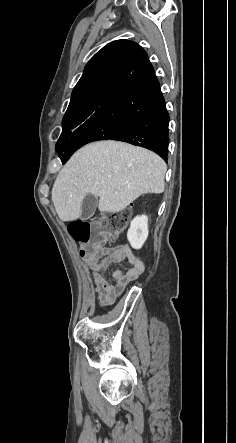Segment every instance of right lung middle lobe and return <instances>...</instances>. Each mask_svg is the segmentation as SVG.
Masks as SVG:
<instances>
[{
	"mask_svg": "<svg viewBox=\"0 0 236 443\" xmlns=\"http://www.w3.org/2000/svg\"><path fill=\"white\" fill-rule=\"evenodd\" d=\"M110 96L111 95L108 94L97 95L68 107L62 121L63 131L56 144L57 152L67 149L69 141L71 137L75 135L77 129L88 120Z\"/></svg>",
	"mask_w": 236,
	"mask_h": 443,
	"instance_id": "1",
	"label": "right lung middle lobe"
}]
</instances>
